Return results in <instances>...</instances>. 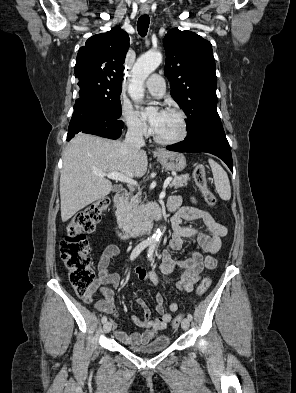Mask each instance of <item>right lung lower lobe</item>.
<instances>
[{
	"label": "right lung lower lobe",
	"instance_id": "1",
	"mask_svg": "<svg viewBox=\"0 0 296 393\" xmlns=\"http://www.w3.org/2000/svg\"><path fill=\"white\" fill-rule=\"evenodd\" d=\"M124 124L100 106L79 97L69 124L67 141L78 132L94 134L105 138L118 139Z\"/></svg>",
	"mask_w": 296,
	"mask_h": 393
}]
</instances>
